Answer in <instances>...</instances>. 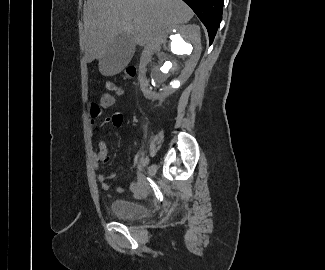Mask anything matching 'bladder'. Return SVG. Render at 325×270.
Returning a JSON list of instances; mask_svg holds the SVG:
<instances>
[{"mask_svg": "<svg viewBox=\"0 0 325 270\" xmlns=\"http://www.w3.org/2000/svg\"><path fill=\"white\" fill-rule=\"evenodd\" d=\"M109 209L114 216L125 220L141 219L147 214L145 205L127 199L112 200Z\"/></svg>", "mask_w": 325, "mask_h": 270, "instance_id": "bladder-1", "label": "bladder"}]
</instances>
